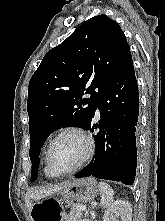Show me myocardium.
<instances>
[{
	"instance_id": "f54148a6",
	"label": "myocardium",
	"mask_w": 165,
	"mask_h": 221,
	"mask_svg": "<svg viewBox=\"0 0 165 221\" xmlns=\"http://www.w3.org/2000/svg\"><path fill=\"white\" fill-rule=\"evenodd\" d=\"M66 134H76V135L80 136L85 143V152H84L83 157L80 159V161L72 168L65 170V171H56L53 169V167L50 163V159H49L50 149H51L53 143L58 138H60L63 135H66ZM93 151H94V142H93L92 138L90 137V135L83 128L77 127V126L66 127V128L61 129L59 132H57L48 142L46 150H45V154H44L45 165H46L48 171L53 176L69 175V174H72V173L78 171L80 168H82L88 162V160L91 158Z\"/></svg>"
}]
</instances>
